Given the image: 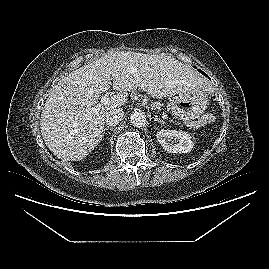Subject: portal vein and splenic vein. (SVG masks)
I'll list each match as a JSON object with an SVG mask.
<instances>
[{"label": "portal vein and splenic vein", "mask_w": 269, "mask_h": 269, "mask_svg": "<svg viewBox=\"0 0 269 269\" xmlns=\"http://www.w3.org/2000/svg\"><path fill=\"white\" fill-rule=\"evenodd\" d=\"M110 101L109 95L105 94L101 98V102L97 104L95 107L90 108L88 111H97L101 108L103 105H107Z\"/></svg>", "instance_id": "obj_1"}]
</instances>
